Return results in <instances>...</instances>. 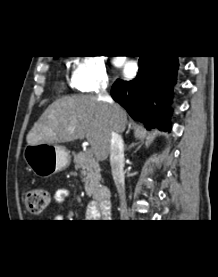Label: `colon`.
Masks as SVG:
<instances>
[{
	"label": "colon",
	"mask_w": 218,
	"mask_h": 277,
	"mask_svg": "<svg viewBox=\"0 0 218 277\" xmlns=\"http://www.w3.org/2000/svg\"><path fill=\"white\" fill-rule=\"evenodd\" d=\"M50 202L49 191L42 187L27 189L23 194V203L32 214L42 213Z\"/></svg>",
	"instance_id": "5ec220e1"
}]
</instances>
